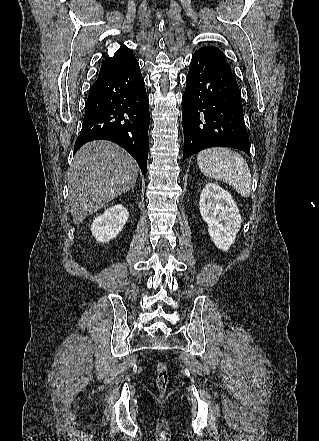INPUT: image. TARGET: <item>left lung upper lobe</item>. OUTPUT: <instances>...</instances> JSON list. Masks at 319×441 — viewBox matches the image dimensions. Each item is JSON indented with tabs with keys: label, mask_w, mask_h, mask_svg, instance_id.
Wrapping results in <instances>:
<instances>
[{
	"label": "left lung upper lobe",
	"mask_w": 319,
	"mask_h": 441,
	"mask_svg": "<svg viewBox=\"0 0 319 441\" xmlns=\"http://www.w3.org/2000/svg\"><path fill=\"white\" fill-rule=\"evenodd\" d=\"M195 53L200 54L207 59H209L212 62H215L223 67H226L230 69L229 64L224 58V54L221 50H219L216 47L210 46V47H203L197 50Z\"/></svg>",
	"instance_id": "left-lung-upper-lobe-1"
}]
</instances>
